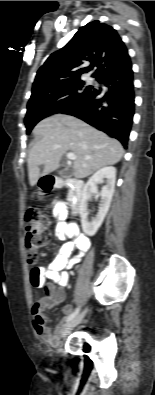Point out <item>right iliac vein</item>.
<instances>
[{
  "label": "right iliac vein",
  "mask_w": 155,
  "mask_h": 395,
  "mask_svg": "<svg viewBox=\"0 0 155 395\" xmlns=\"http://www.w3.org/2000/svg\"><path fill=\"white\" fill-rule=\"evenodd\" d=\"M87 313V309H85L82 313H80L79 315H77L76 317H74L72 320H70L63 328L62 332H61V336L63 338H65L70 332L71 330L76 327L84 318V316Z\"/></svg>",
  "instance_id": "63e3f726"
}]
</instances>
